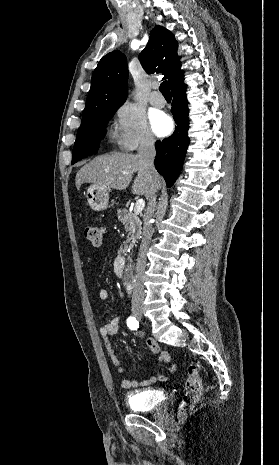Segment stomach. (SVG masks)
I'll return each mask as SVG.
<instances>
[{"label": "stomach", "mask_w": 279, "mask_h": 465, "mask_svg": "<svg viewBox=\"0 0 279 465\" xmlns=\"http://www.w3.org/2000/svg\"><path fill=\"white\" fill-rule=\"evenodd\" d=\"M86 198L88 205L94 211H103L107 209L109 202V189L98 186L90 185L87 188Z\"/></svg>", "instance_id": "1"}]
</instances>
